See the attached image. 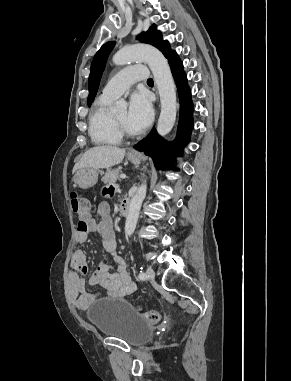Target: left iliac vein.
<instances>
[{
    "instance_id": "1",
    "label": "left iliac vein",
    "mask_w": 291,
    "mask_h": 381,
    "mask_svg": "<svg viewBox=\"0 0 291 381\" xmlns=\"http://www.w3.org/2000/svg\"><path fill=\"white\" fill-rule=\"evenodd\" d=\"M146 278L151 282L155 280V272L152 268L146 270Z\"/></svg>"
}]
</instances>
